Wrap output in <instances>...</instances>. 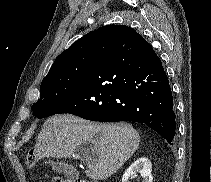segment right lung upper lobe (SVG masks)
Returning a JSON list of instances; mask_svg holds the SVG:
<instances>
[{
    "label": "right lung upper lobe",
    "instance_id": "cb5924a9",
    "mask_svg": "<svg viewBox=\"0 0 211 182\" xmlns=\"http://www.w3.org/2000/svg\"><path fill=\"white\" fill-rule=\"evenodd\" d=\"M122 27H125L127 29V34L129 35L130 40L133 43L140 45L144 41V38L136 33L133 29L127 26ZM101 29L102 27L89 32L88 34L74 42L67 50L63 51L54 61L46 77H50L60 70L68 69L69 67H73L75 65H86L91 62L98 34Z\"/></svg>",
    "mask_w": 211,
    "mask_h": 182
}]
</instances>
